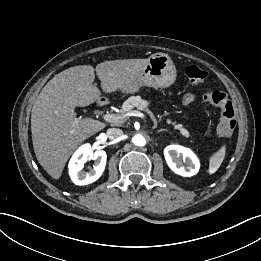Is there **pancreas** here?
I'll list each match as a JSON object with an SVG mask.
<instances>
[{
    "instance_id": "obj_1",
    "label": "pancreas",
    "mask_w": 261,
    "mask_h": 261,
    "mask_svg": "<svg viewBox=\"0 0 261 261\" xmlns=\"http://www.w3.org/2000/svg\"><path fill=\"white\" fill-rule=\"evenodd\" d=\"M150 103L147 100L142 99L140 96H131L129 97L122 105L121 114L125 115L128 112H130L133 108H137L141 111H147L150 113L149 110ZM168 124H172L175 129L180 131V134H182L184 137H189V132L187 129L184 128L182 124H177L175 121H172L170 119H167Z\"/></svg>"
}]
</instances>
